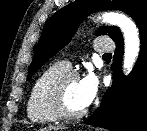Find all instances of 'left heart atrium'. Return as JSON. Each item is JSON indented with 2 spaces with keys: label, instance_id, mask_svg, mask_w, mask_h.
<instances>
[{
  "label": "left heart atrium",
  "instance_id": "left-heart-atrium-1",
  "mask_svg": "<svg viewBox=\"0 0 147 131\" xmlns=\"http://www.w3.org/2000/svg\"><path fill=\"white\" fill-rule=\"evenodd\" d=\"M99 90V79L92 73L88 72L80 79V92L85 107L89 106L96 98Z\"/></svg>",
  "mask_w": 147,
  "mask_h": 131
}]
</instances>
